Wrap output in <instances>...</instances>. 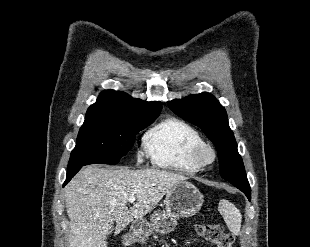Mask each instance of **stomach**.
<instances>
[{
	"instance_id": "stomach-1",
	"label": "stomach",
	"mask_w": 310,
	"mask_h": 247,
	"mask_svg": "<svg viewBox=\"0 0 310 247\" xmlns=\"http://www.w3.org/2000/svg\"><path fill=\"white\" fill-rule=\"evenodd\" d=\"M203 195L192 183L182 181L176 184L164 200L165 209L154 211L150 221L136 219L132 225L131 239L145 243L152 231L162 234L172 232L179 218H188L199 212Z\"/></svg>"
}]
</instances>
